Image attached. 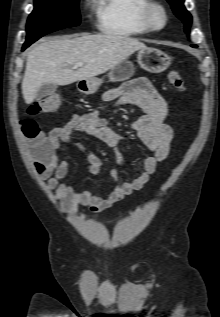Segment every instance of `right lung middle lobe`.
I'll return each instance as SVG.
<instances>
[{
	"label": "right lung middle lobe",
	"instance_id": "dd1d6c3e",
	"mask_svg": "<svg viewBox=\"0 0 220 317\" xmlns=\"http://www.w3.org/2000/svg\"><path fill=\"white\" fill-rule=\"evenodd\" d=\"M79 0H34V10L27 21L26 42L80 23Z\"/></svg>",
	"mask_w": 220,
	"mask_h": 317
}]
</instances>
